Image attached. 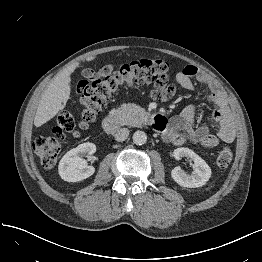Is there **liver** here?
Listing matches in <instances>:
<instances>
[{
  "label": "liver",
  "mask_w": 262,
  "mask_h": 262,
  "mask_svg": "<svg viewBox=\"0 0 262 262\" xmlns=\"http://www.w3.org/2000/svg\"><path fill=\"white\" fill-rule=\"evenodd\" d=\"M90 57L87 61L93 60ZM79 66L75 63L59 72L44 91L34 117V125L40 127L62 110L70 97V75Z\"/></svg>",
  "instance_id": "liver-1"
}]
</instances>
